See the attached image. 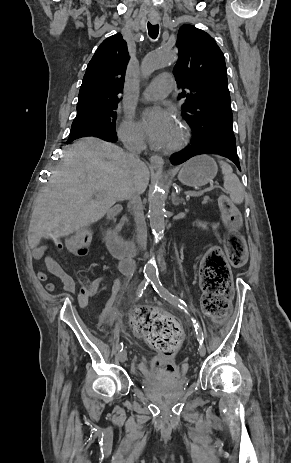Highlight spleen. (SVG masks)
Listing matches in <instances>:
<instances>
[{"mask_svg": "<svg viewBox=\"0 0 291 463\" xmlns=\"http://www.w3.org/2000/svg\"><path fill=\"white\" fill-rule=\"evenodd\" d=\"M222 174L224 175V189L229 194L230 199L235 204H241L244 200V187L239 181L237 175L233 173L232 167L224 162L220 161Z\"/></svg>", "mask_w": 291, "mask_h": 463, "instance_id": "1", "label": "spleen"}]
</instances>
